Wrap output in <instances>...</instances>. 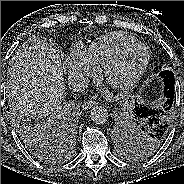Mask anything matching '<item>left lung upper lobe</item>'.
I'll list each match as a JSON object with an SVG mask.
<instances>
[{"label":"left lung upper lobe","instance_id":"1","mask_svg":"<svg viewBox=\"0 0 184 184\" xmlns=\"http://www.w3.org/2000/svg\"><path fill=\"white\" fill-rule=\"evenodd\" d=\"M119 125H121L120 132H126L123 135V152L130 157L150 156L160 148L168 135L158 136L151 130L145 120L133 115L130 116L128 121Z\"/></svg>","mask_w":184,"mask_h":184}]
</instances>
